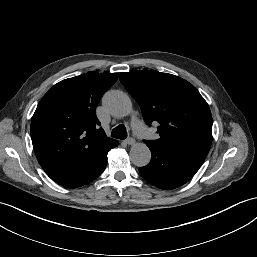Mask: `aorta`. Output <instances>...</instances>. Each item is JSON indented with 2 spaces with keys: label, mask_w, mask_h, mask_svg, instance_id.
<instances>
[{
  "label": "aorta",
  "mask_w": 257,
  "mask_h": 257,
  "mask_svg": "<svg viewBox=\"0 0 257 257\" xmlns=\"http://www.w3.org/2000/svg\"><path fill=\"white\" fill-rule=\"evenodd\" d=\"M103 106L107 112L117 118H122L130 114L132 103L129 96L122 91H109L103 97ZM131 162L138 166L144 167L151 160V152L146 144L136 143L129 152Z\"/></svg>",
  "instance_id": "obj_1"
}]
</instances>
